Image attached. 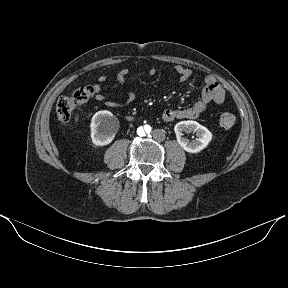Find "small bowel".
Segmentation results:
<instances>
[{
	"instance_id": "1",
	"label": "small bowel",
	"mask_w": 288,
	"mask_h": 288,
	"mask_svg": "<svg viewBox=\"0 0 288 288\" xmlns=\"http://www.w3.org/2000/svg\"><path fill=\"white\" fill-rule=\"evenodd\" d=\"M173 69L178 75L180 82H186L192 76V71L189 68L181 65H175ZM129 72V69L124 68L117 73L116 80L120 85H125L126 77ZM149 74L154 75L155 70L151 69ZM106 81L107 77L102 75L98 77L97 83L93 85L95 99L103 102L107 107H120V103L109 100L103 93L102 84H104ZM225 94L226 92L223 86L213 76H207L205 78V85L199 101L187 108L167 109L163 111L161 118L164 122H172L177 119H197L212 103L221 105L224 102ZM133 100L134 94L132 92H128L125 102L130 103Z\"/></svg>"
}]
</instances>
